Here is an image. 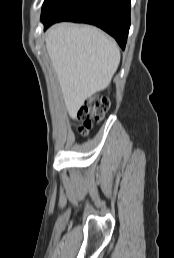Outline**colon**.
Masks as SVG:
<instances>
[{
    "label": "colon",
    "mask_w": 174,
    "mask_h": 258,
    "mask_svg": "<svg viewBox=\"0 0 174 258\" xmlns=\"http://www.w3.org/2000/svg\"><path fill=\"white\" fill-rule=\"evenodd\" d=\"M110 107L107 98L92 96L85 100L77 111L76 118L81 123L78 127L80 134H87L94 123L100 122Z\"/></svg>",
    "instance_id": "5ec220e1"
}]
</instances>
